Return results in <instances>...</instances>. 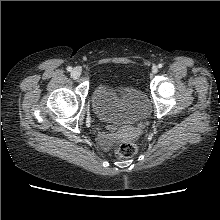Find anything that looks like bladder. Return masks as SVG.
<instances>
[{
	"label": "bladder",
	"instance_id": "1",
	"mask_svg": "<svg viewBox=\"0 0 220 220\" xmlns=\"http://www.w3.org/2000/svg\"><path fill=\"white\" fill-rule=\"evenodd\" d=\"M115 93V86L105 80L97 82L92 91L93 104L105 110L107 119L112 123L130 125L149 115V101L142 90L129 89L122 101L116 100Z\"/></svg>",
	"mask_w": 220,
	"mask_h": 220
}]
</instances>
